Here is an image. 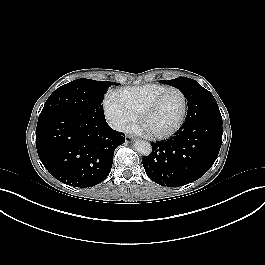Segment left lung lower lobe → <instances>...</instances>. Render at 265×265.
<instances>
[{"instance_id":"1","label":"left lung lower lobe","mask_w":265,"mask_h":265,"mask_svg":"<svg viewBox=\"0 0 265 265\" xmlns=\"http://www.w3.org/2000/svg\"><path fill=\"white\" fill-rule=\"evenodd\" d=\"M222 144V117L213 95L194 89L185 123L167 141L152 143L142 158L147 176L155 183L179 187L202 177L215 162Z\"/></svg>"}]
</instances>
